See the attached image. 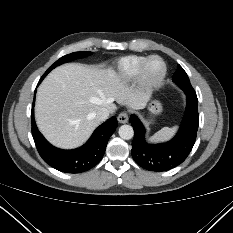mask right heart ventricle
Returning a JSON list of instances; mask_svg holds the SVG:
<instances>
[{
	"mask_svg": "<svg viewBox=\"0 0 233 233\" xmlns=\"http://www.w3.org/2000/svg\"><path fill=\"white\" fill-rule=\"evenodd\" d=\"M147 57L139 55H130L121 58L114 71V78L118 83L126 84L134 80Z\"/></svg>",
	"mask_w": 233,
	"mask_h": 233,
	"instance_id": "e07e8e85",
	"label": "right heart ventricle"
}]
</instances>
